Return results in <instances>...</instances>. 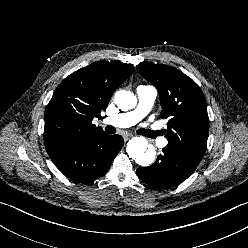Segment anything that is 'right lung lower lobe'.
Returning a JSON list of instances; mask_svg holds the SVG:
<instances>
[{
	"instance_id": "right-lung-lower-lobe-1",
	"label": "right lung lower lobe",
	"mask_w": 248,
	"mask_h": 248,
	"mask_svg": "<svg viewBox=\"0 0 248 248\" xmlns=\"http://www.w3.org/2000/svg\"><path fill=\"white\" fill-rule=\"evenodd\" d=\"M119 135L99 133L49 154L56 167L76 182H88L106 174L123 146Z\"/></svg>"
}]
</instances>
